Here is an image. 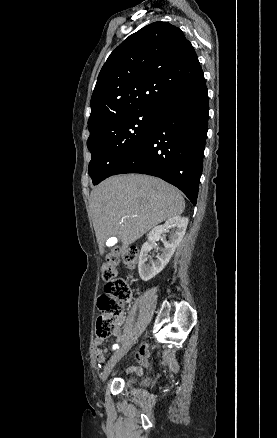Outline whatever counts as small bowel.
<instances>
[{
	"instance_id": "c3829d8e",
	"label": "small bowel",
	"mask_w": 277,
	"mask_h": 438,
	"mask_svg": "<svg viewBox=\"0 0 277 438\" xmlns=\"http://www.w3.org/2000/svg\"><path fill=\"white\" fill-rule=\"evenodd\" d=\"M113 337L116 339V341L117 342H121V339H122V332H121V330L118 328V329H116L114 332H113ZM103 342V339H96V341H95V344H98V345H100L101 343ZM102 353V351L100 350V349H98V348H95L94 350H93V353L95 354V355H98L99 353ZM105 353H108V350H105ZM148 356V350H147V345H143L142 346V348H141V350H140V353H139V360L141 361V362H144V360H145V358ZM97 361L98 362H103L104 361V356L103 355H98L97 356ZM137 373H140L141 372V370H139V369H136L135 370Z\"/></svg>"
}]
</instances>
